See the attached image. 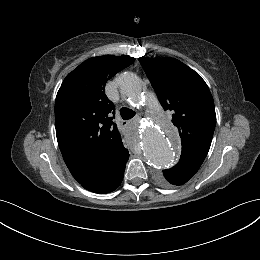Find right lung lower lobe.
<instances>
[{"label": "right lung lower lobe", "mask_w": 260, "mask_h": 260, "mask_svg": "<svg viewBox=\"0 0 260 260\" xmlns=\"http://www.w3.org/2000/svg\"><path fill=\"white\" fill-rule=\"evenodd\" d=\"M129 155L121 161L115 168L108 170L103 175L96 177L81 185L94 193H109L114 191L120 184L124 176V170Z\"/></svg>", "instance_id": "98d812e1"}]
</instances>
